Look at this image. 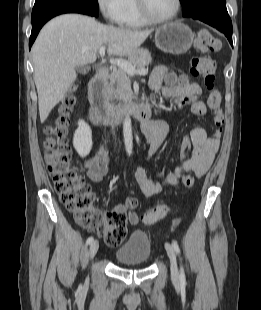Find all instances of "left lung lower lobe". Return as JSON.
Returning <instances> with one entry per match:
<instances>
[{
	"mask_svg": "<svg viewBox=\"0 0 261 310\" xmlns=\"http://www.w3.org/2000/svg\"><path fill=\"white\" fill-rule=\"evenodd\" d=\"M194 19L205 22L206 24L215 27L219 31L223 32L228 38L230 44H232V22L228 15L227 9H220L214 13L197 16Z\"/></svg>",
	"mask_w": 261,
	"mask_h": 310,
	"instance_id": "0a47b994",
	"label": "left lung lower lobe"
}]
</instances>
